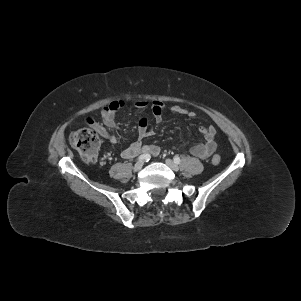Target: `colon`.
<instances>
[{
    "label": "colon",
    "instance_id": "obj_1",
    "mask_svg": "<svg viewBox=\"0 0 301 301\" xmlns=\"http://www.w3.org/2000/svg\"><path fill=\"white\" fill-rule=\"evenodd\" d=\"M70 144L87 162H95L98 156L99 138L94 129L81 128L70 136ZM214 165L221 162L219 154H214L211 159Z\"/></svg>",
    "mask_w": 301,
    "mask_h": 301
}]
</instances>
